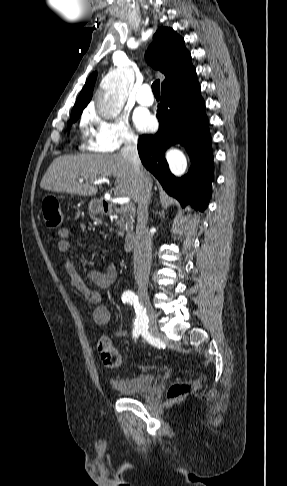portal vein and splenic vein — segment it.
I'll return each instance as SVG.
<instances>
[{"label":"portal vein and splenic vein","instance_id":"18ae733b","mask_svg":"<svg viewBox=\"0 0 287 486\" xmlns=\"http://www.w3.org/2000/svg\"><path fill=\"white\" fill-rule=\"evenodd\" d=\"M105 182H108V179H106V178H102V179H97V180H95V181L93 182V184H102V183H105ZM129 201H130V199H129V198H123V199H122L121 204H122V207H123L124 209H130V208H131V205H130Z\"/></svg>","mask_w":287,"mask_h":486}]
</instances>
